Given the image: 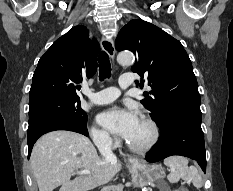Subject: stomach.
<instances>
[{"label": "stomach", "instance_id": "1", "mask_svg": "<svg viewBox=\"0 0 233 191\" xmlns=\"http://www.w3.org/2000/svg\"><path fill=\"white\" fill-rule=\"evenodd\" d=\"M130 173L135 187H144L165 177L161 165L145 164L139 161L132 163Z\"/></svg>", "mask_w": 233, "mask_h": 191}]
</instances>
